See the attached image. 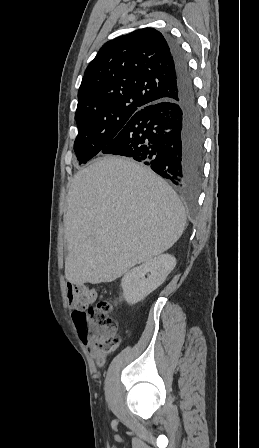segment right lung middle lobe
<instances>
[{
    "mask_svg": "<svg viewBox=\"0 0 259 448\" xmlns=\"http://www.w3.org/2000/svg\"><path fill=\"white\" fill-rule=\"evenodd\" d=\"M144 108L132 107L111 113H88L75 115L78 135L74 151L79 164L87 163L114 139L125 124Z\"/></svg>",
    "mask_w": 259,
    "mask_h": 448,
    "instance_id": "1",
    "label": "right lung middle lobe"
}]
</instances>
